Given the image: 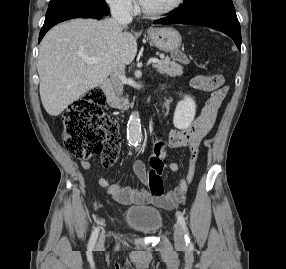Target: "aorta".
<instances>
[{"instance_id":"aorta-1","label":"aorta","mask_w":286,"mask_h":269,"mask_svg":"<svg viewBox=\"0 0 286 269\" xmlns=\"http://www.w3.org/2000/svg\"><path fill=\"white\" fill-rule=\"evenodd\" d=\"M127 139L132 146H137L142 139L141 121L138 112H133L129 117Z\"/></svg>"}]
</instances>
